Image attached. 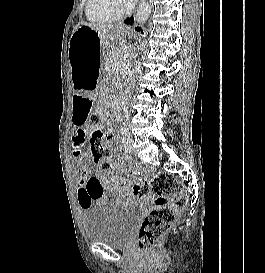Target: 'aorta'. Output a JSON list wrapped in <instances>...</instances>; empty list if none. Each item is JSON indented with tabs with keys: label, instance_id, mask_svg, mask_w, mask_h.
Instances as JSON below:
<instances>
[{
	"label": "aorta",
	"instance_id": "1",
	"mask_svg": "<svg viewBox=\"0 0 265 273\" xmlns=\"http://www.w3.org/2000/svg\"><path fill=\"white\" fill-rule=\"evenodd\" d=\"M152 0H144L137 9L135 20L142 27L145 25L151 13Z\"/></svg>",
	"mask_w": 265,
	"mask_h": 273
}]
</instances>
